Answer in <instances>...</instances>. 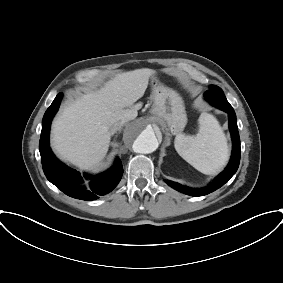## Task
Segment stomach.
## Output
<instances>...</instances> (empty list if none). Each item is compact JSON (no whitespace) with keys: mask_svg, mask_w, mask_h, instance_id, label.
<instances>
[{"mask_svg":"<svg viewBox=\"0 0 283 283\" xmlns=\"http://www.w3.org/2000/svg\"><path fill=\"white\" fill-rule=\"evenodd\" d=\"M153 100L151 114L162 119L172 133L181 132L187 123L182 97L171 88L156 82L153 87Z\"/></svg>","mask_w":283,"mask_h":283,"instance_id":"1","label":"stomach"}]
</instances>
